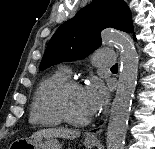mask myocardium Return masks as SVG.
Masks as SVG:
<instances>
[{
	"instance_id": "f54148a6",
	"label": "myocardium",
	"mask_w": 155,
	"mask_h": 149,
	"mask_svg": "<svg viewBox=\"0 0 155 149\" xmlns=\"http://www.w3.org/2000/svg\"><path fill=\"white\" fill-rule=\"evenodd\" d=\"M73 88H81V84L78 81L71 79H67L59 84L52 95L53 107L63 122L73 126H85L91 122V117L81 120L75 119L69 114L66 108L65 97L68 91Z\"/></svg>"
}]
</instances>
